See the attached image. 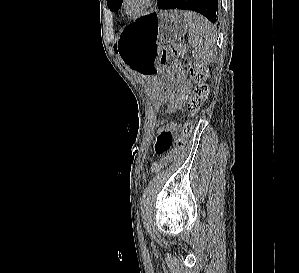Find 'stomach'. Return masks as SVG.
Wrapping results in <instances>:
<instances>
[{
	"label": "stomach",
	"instance_id": "1",
	"mask_svg": "<svg viewBox=\"0 0 299 273\" xmlns=\"http://www.w3.org/2000/svg\"><path fill=\"white\" fill-rule=\"evenodd\" d=\"M187 26L178 10L154 11L125 26L117 39L116 52L123 64L139 75L147 76V87L154 99H166L173 79L161 68L163 43L180 40Z\"/></svg>",
	"mask_w": 299,
	"mask_h": 273
}]
</instances>
